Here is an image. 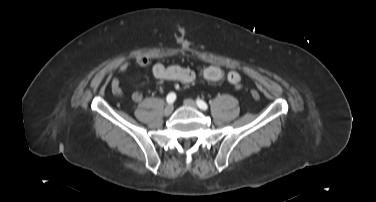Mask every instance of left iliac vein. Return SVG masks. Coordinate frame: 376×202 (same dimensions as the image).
<instances>
[{
    "instance_id": "4c4485c4",
    "label": "left iliac vein",
    "mask_w": 376,
    "mask_h": 202,
    "mask_svg": "<svg viewBox=\"0 0 376 202\" xmlns=\"http://www.w3.org/2000/svg\"><path fill=\"white\" fill-rule=\"evenodd\" d=\"M184 104L188 107H191V108H194L196 109L197 108V104L195 103V101H193L192 99H185L184 100Z\"/></svg>"
}]
</instances>
